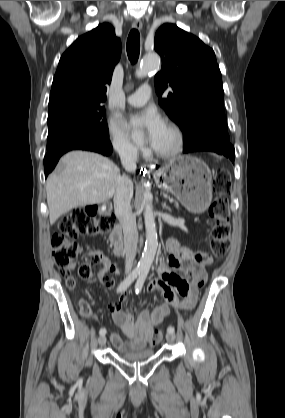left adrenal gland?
<instances>
[{
	"label": "left adrenal gland",
	"instance_id": "a2214340",
	"mask_svg": "<svg viewBox=\"0 0 285 418\" xmlns=\"http://www.w3.org/2000/svg\"><path fill=\"white\" fill-rule=\"evenodd\" d=\"M162 207L163 209H167L168 211H171V208L168 207L165 202L162 203Z\"/></svg>",
	"mask_w": 285,
	"mask_h": 418
}]
</instances>
